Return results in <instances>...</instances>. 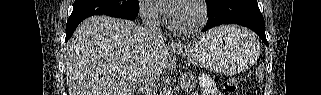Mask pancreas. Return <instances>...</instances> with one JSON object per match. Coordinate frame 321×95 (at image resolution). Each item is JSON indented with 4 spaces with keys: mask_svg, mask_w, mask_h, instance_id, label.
Masks as SVG:
<instances>
[{
    "mask_svg": "<svg viewBox=\"0 0 321 95\" xmlns=\"http://www.w3.org/2000/svg\"><path fill=\"white\" fill-rule=\"evenodd\" d=\"M196 86V79L192 74L185 73L181 78V87L186 91H192Z\"/></svg>",
    "mask_w": 321,
    "mask_h": 95,
    "instance_id": "obj_1",
    "label": "pancreas"
}]
</instances>
